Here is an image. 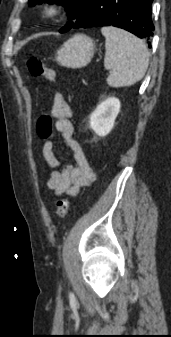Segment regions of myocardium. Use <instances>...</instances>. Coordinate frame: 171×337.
Masks as SVG:
<instances>
[{
	"label": "myocardium",
	"mask_w": 171,
	"mask_h": 337,
	"mask_svg": "<svg viewBox=\"0 0 171 337\" xmlns=\"http://www.w3.org/2000/svg\"><path fill=\"white\" fill-rule=\"evenodd\" d=\"M63 13V6L57 1H46L41 7V16L46 20H55Z\"/></svg>",
	"instance_id": "1"
}]
</instances>
